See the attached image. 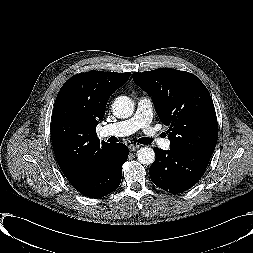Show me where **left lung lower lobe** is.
I'll list each match as a JSON object with an SVG mask.
<instances>
[{"label": "left lung lower lobe", "mask_w": 253, "mask_h": 253, "mask_svg": "<svg viewBox=\"0 0 253 253\" xmlns=\"http://www.w3.org/2000/svg\"><path fill=\"white\" fill-rule=\"evenodd\" d=\"M156 159L150 166L152 182L170 193H181L193 187L204 174L210 153L190 149L154 148Z\"/></svg>", "instance_id": "0a47b994"}]
</instances>
